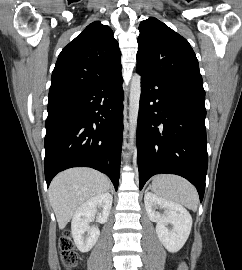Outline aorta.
Returning <instances> with one entry per match:
<instances>
[{"instance_id": "aorta-1", "label": "aorta", "mask_w": 242, "mask_h": 270, "mask_svg": "<svg viewBox=\"0 0 242 270\" xmlns=\"http://www.w3.org/2000/svg\"><path fill=\"white\" fill-rule=\"evenodd\" d=\"M140 95H141V76L139 74H134L131 80L130 97H129V131H130L131 147L133 145L134 136L136 133Z\"/></svg>"}]
</instances>
